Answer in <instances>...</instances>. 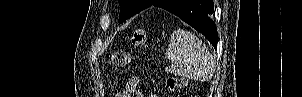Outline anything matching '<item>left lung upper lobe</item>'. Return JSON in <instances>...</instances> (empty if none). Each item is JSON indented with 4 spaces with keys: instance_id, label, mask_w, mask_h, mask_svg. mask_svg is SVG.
Listing matches in <instances>:
<instances>
[{
    "instance_id": "5c2ea615",
    "label": "left lung upper lobe",
    "mask_w": 302,
    "mask_h": 97,
    "mask_svg": "<svg viewBox=\"0 0 302 97\" xmlns=\"http://www.w3.org/2000/svg\"><path fill=\"white\" fill-rule=\"evenodd\" d=\"M155 0H118L120 8L119 23L150 7Z\"/></svg>"
}]
</instances>
